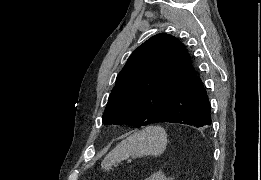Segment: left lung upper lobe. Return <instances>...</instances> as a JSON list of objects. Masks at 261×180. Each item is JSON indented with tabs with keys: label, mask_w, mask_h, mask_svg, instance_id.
<instances>
[{
	"label": "left lung upper lobe",
	"mask_w": 261,
	"mask_h": 180,
	"mask_svg": "<svg viewBox=\"0 0 261 180\" xmlns=\"http://www.w3.org/2000/svg\"><path fill=\"white\" fill-rule=\"evenodd\" d=\"M194 70L186 47L160 33L128 58L111 91L103 120L137 128L151 124Z\"/></svg>",
	"instance_id": "left-lung-upper-lobe-1"
}]
</instances>
